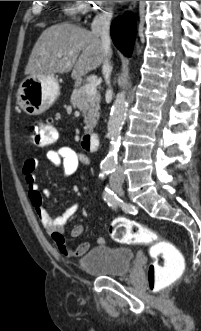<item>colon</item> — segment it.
Instances as JSON below:
<instances>
[{"mask_svg":"<svg viewBox=\"0 0 201 331\" xmlns=\"http://www.w3.org/2000/svg\"><path fill=\"white\" fill-rule=\"evenodd\" d=\"M31 136L37 146L51 145L57 138L56 130L49 120H36L31 126ZM110 236L122 244H151L150 254L153 261L148 267L147 280L152 292L163 293L183 273L182 254L155 231L135 221L117 218L111 223Z\"/></svg>","mask_w":201,"mask_h":331,"instance_id":"1","label":"colon"}]
</instances>
